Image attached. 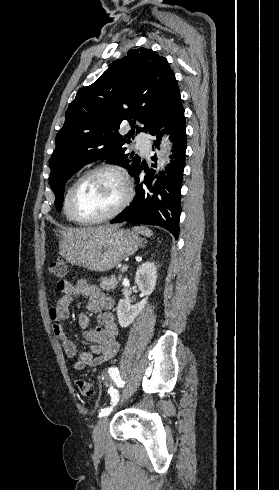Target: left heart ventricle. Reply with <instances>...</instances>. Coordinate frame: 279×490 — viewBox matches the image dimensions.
I'll list each match as a JSON object with an SVG mask.
<instances>
[{"instance_id":"1","label":"left heart ventricle","mask_w":279,"mask_h":490,"mask_svg":"<svg viewBox=\"0 0 279 490\" xmlns=\"http://www.w3.org/2000/svg\"><path fill=\"white\" fill-rule=\"evenodd\" d=\"M124 196L121 181L111 173H100L87 179L77 199V216L83 220L100 217L112 211Z\"/></svg>"}]
</instances>
